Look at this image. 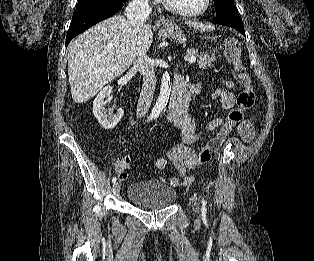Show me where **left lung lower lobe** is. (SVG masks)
I'll list each match as a JSON object with an SVG mask.
<instances>
[{
    "mask_svg": "<svg viewBox=\"0 0 314 261\" xmlns=\"http://www.w3.org/2000/svg\"><path fill=\"white\" fill-rule=\"evenodd\" d=\"M234 28L237 29L239 32H241L243 35H245L244 27H234Z\"/></svg>",
    "mask_w": 314,
    "mask_h": 261,
    "instance_id": "obj_1",
    "label": "left lung lower lobe"
}]
</instances>
